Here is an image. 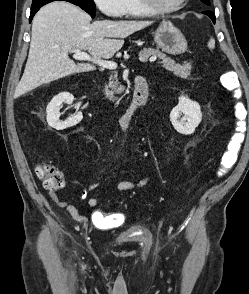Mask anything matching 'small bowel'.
<instances>
[{"mask_svg":"<svg viewBox=\"0 0 249 294\" xmlns=\"http://www.w3.org/2000/svg\"><path fill=\"white\" fill-rule=\"evenodd\" d=\"M150 181V176L147 175L143 179L139 181H119L114 185L115 190L117 191H132L135 189H139L146 184H148ZM98 186L97 183L90 185L89 190H92ZM54 200H56L55 196H52ZM100 203V200L97 196H91L86 200V204L91 208H96ZM62 206L66 209V211L70 214L72 219L76 221L79 224L87 225L89 223V220L87 217L82 215L76 206L72 203H63ZM91 223L98 229L101 230H108V229H114L119 227L123 221L124 217L121 214H106L102 211L96 210L92 213Z\"/></svg>","mask_w":249,"mask_h":294,"instance_id":"1","label":"small bowel"}]
</instances>
